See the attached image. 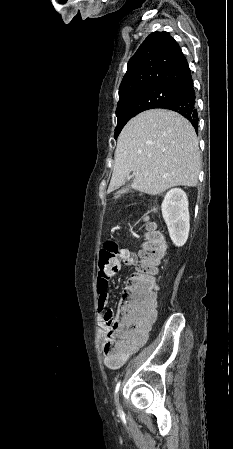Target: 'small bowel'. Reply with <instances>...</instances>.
I'll return each instance as SVG.
<instances>
[{
	"label": "small bowel",
	"instance_id": "small-bowel-1",
	"mask_svg": "<svg viewBox=\"0 0 233 449\" xmlns=\"http://www.w3.org/2000/svg\"><path fill=\"white\" fill-rule=\"evenodd\" d=\"M120 261L127 266H135L137 264V257L135 254L126 251L125 253L120 255ZM120 261L115 268H111L108 270V278L113 277L117 273L120 267ZM109 297H110L109 293L99 295L98 310L100 313H104V315L108 307ZM154 318L155 316H151L147 321H145L141 326V328H139L138 331L136 332L135 337L130 342L125 343L124 346H126L127 348L125 352V358L134 354L140 347L144 345V343L148 338L151 323L153 322ZM107 332L108 328L103 319L99 324V340L102 351L107 341ZM115 344H117V342H115Z\"/></svg>",
	"mask_w": 233,
	"mask_h": 449
}]
</instances>
